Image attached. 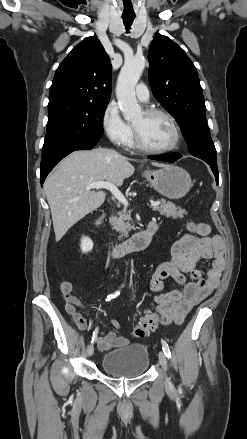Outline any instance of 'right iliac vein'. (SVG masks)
<instances>
[{
	"mask_svg": "<svg viewBox=\"0 0 247 439\" xmlns=\"http://www.w3.org/2000/svg\"><path fill=\"white\" fill-rule=\"evenodd\" d=\"M93 352H94V346L91 344V345H89L88 348H87V355H88L89 357H91V356L93 355Z\"/></svg>",
	"mask_w": 247,
	"mask_h": 439,
	"instance_id": "63e3f726",
	"label": "right iliac vein"
}]
</instances>
